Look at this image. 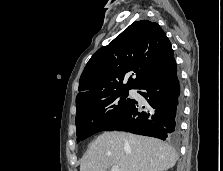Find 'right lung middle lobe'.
Listing matches in <instances>:
<instances>
[{
    "label": "right lung middle lobe",
    "mask_w": 223,
    "mask_h": 171,
    "mask_svg": "<svg viewBox=\"0 0 223 171\" xmlns=\"http://www.w3.org/2000/svg\"><path fill=\"white\" fill-rule=\"evenodd\" d=\"M127 97L128 90L119 91L76 109L77 142L103 131L117 121L134 101Z\"/></svg>",
    "instance_id": "obj_1"
}]
</instances>
